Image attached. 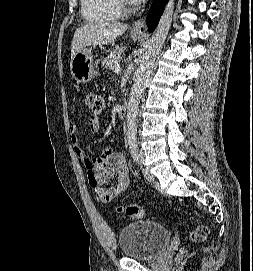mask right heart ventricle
Returning <instances> with one entry per match:
<instances>
[{"mask_svg":"<svg viewBox=\"0 0 253 271\" xmlns=\"http://www.w3.org/2000/svg\"><path fill=\"white\" fill-rule=\"evenodd\" d=\"M81 13L90 23L111 22L122 15L118 0H80Z\"/></svg>","mask_w":253,"mask_h":271,"instance_id":"1","label":"right heart ventricle"}]
</instances>
